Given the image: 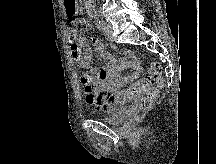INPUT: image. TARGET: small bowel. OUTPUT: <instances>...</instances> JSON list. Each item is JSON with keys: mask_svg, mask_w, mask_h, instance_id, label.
<instances>
[{"mask_svg": "<svg viewBox=\"0 0 216 164\" xmlns=\"http://www.w3.org/2000/svg\"><path fill=\"white\" fill-rule=\"evenodd\" d=\"M75 23L82 25L83 21L77 20ZM93 46L98 56L106 62V66L92 68V48L85 43L83 35L78 34L75 30L70 32L69 48L71 55L78 65L85 70L81 76V83L84 86L86 102L97 110L112 114L118 107L112 98L118 93L121 86L139 75V62L134 58L131 50L126 51L129 59H122L120 63H117L104 48L101 41L94 39ZM125 68L130 69V73L121 75V70Z\"/></svg>", "mask_w": 216, "mask_h": 164, "instance_id": "1", "label": "small bowel"}]
</instances>
